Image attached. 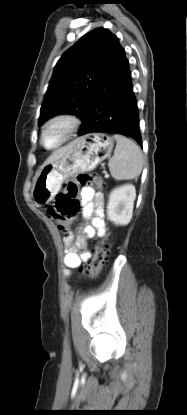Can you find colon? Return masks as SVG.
Here are the masks:
<instances>
[{
    "label": "colon",
    "mask_w": 187,
    "mask_h": 415,
    "mask_svg": "<svg viewBox=\"0 0 187 415\" xmlns=\"http://www.w3.org/2000/svg\"><path fill=\"white\" fill-rule=\"evenodd\" d=\"M79 186L102 187V178L92 174H81L76 182H69L61 192L57 194L54 208H49L47 213L54 219L60 231L65 236L71 234L70 222L78 213L80 204L77 199ZM108 260V245L105 242L99 243L92 258L84 268L88 276H97L106 266Z\"/></svg>",
    "instance_id": "1"
}]
</instances>
